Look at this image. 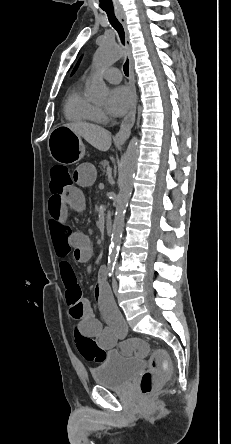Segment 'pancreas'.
I'll list each match as a JSON object with an SVG mask.
<instances>
[{
	"label": "pancreas",
	"instance_id": "cf45deb5",
	"mask_svg": "<svg viewBox=\"0 0 231 444\" xmlns=\"http://www.w3.org/2000/svg\"><path fill=\"white\" fill-rule=\"evenodd\" d=\"M108 167H109V163H108L107 160H102V161L99 163V168H100V170H101L102 173H105V172H106V169H107Z\"/></svg>",
	"mask_w": 231,
	"mask_h": 444
}]
</instances>
